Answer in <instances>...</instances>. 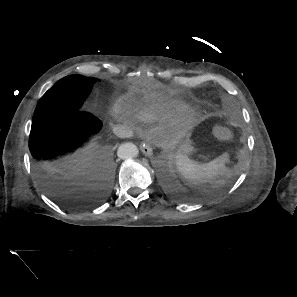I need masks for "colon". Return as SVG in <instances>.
<instances>
[{"instance_id":"colon-1","label":"colon","mask_w":297,"mask_h":297,"mask_svg":"<svg viewBox=\"0 0 297 297\" xmlns=\"http://www.w3.org/2000/svg\"><path fill=\"white\" fill-rule=\"evenodd\" d=\"M216 134H217V136H219L221 138H225L227 135V128L224 126L218 127L216 130Z\"/></svg>"}]
</instances>
